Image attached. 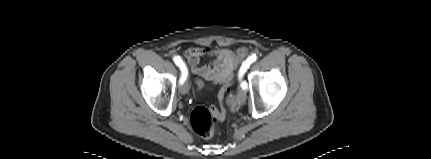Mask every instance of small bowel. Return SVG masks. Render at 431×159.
Returning a JSON list of instances; mask_svg holds the SVG:
<instances>
[{"mask_svg":"<svg viewBox=\"0 0 431 159\" xmlns=\"http://www.w3.org/2000/svg\"><path fill=\"white\" fill-rule=\"evenodd\" d=\"M247 54L248 50L244 47L236 51L226 48L213 50L209 47H191L183 53L194 75L202 80L224 85L232 80L234 71ZM204 56H212L215 59L211 64L200 65V60Z\"/></svg>","mask_w":431,"mask_h":159,"instance_id":"c3829d8e","label":"small bowel"}]
</instances>
